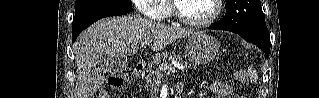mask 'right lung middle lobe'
I'll return each mask as SVG.
<instances>
[{
    "label": "right lung middle lobe",
    "instance_id": "1",
    "mask_svg": "<svg viewBox=\"0 0 319 98\" xmlns=\"http://www.w3.org/2000/svg\"><path fill=\"white\" fill-rule=\"evenodd\" d=\"M105 8L132 9L131 0H76L75 14Z\"/></svg>",
    "mask_w": 319,
    "mask_h": 98
}]
</instances>
